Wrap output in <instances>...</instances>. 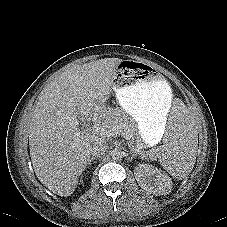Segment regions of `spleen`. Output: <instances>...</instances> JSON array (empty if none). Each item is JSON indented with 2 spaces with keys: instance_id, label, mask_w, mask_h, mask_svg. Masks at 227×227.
<instances>
[{
  "instance_id": "obj_1",
  "label": "spleen",
  "mask_w": 227,
  "mask_h": 227,
  "mask_svg": "<svg viewBox=\"0 0 227 227\" xmlns=\"http://www.w3.org/2000/svg\"><path fill=\"white\" fill-rule=\"evenodd\" d=\"M191 115L189 103H174L163 127V143L155 145L152 150L154 161L162 164L177 180L185 178L192 171L196 160L198 137Z\"/></svg>"
}]
</instances>
